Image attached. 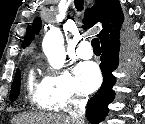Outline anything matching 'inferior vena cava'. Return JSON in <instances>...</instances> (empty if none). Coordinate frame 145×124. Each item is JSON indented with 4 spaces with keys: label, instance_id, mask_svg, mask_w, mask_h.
<instances>
[{
    "label": "inferior vena cava",
    "instance_id": "1",
    "mask_svg": "<svg viewBox=\"0 0 145 124\" xmlns=\"http://www.w3.org/2000/svg\"><path fill=\"white\" fill-rule=\"evenodd\" d=\"M86 104V100H78L74 103L75 108L70 114V118L74 124H84Z\"/></svg>",
    "mask_w": 145,
    "mask_h": 124
}]
</instances>
